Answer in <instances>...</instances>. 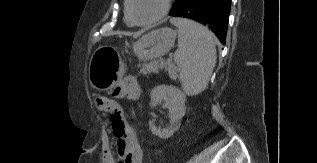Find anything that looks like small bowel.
<instances>
[{"instance_id":"c3829d8e","label":"small bowel","mask_w":317,"mask_h":163,"mask_svg":"<svg viewBox=\"0 0 317 163\" xmlns=\"http://www.w3.org/2000/svg\"><path fill=\"white\" fill-rule=\"evenodd\" d=\"M113 93L117 98L135 101L140 95V88L134 78L127 77L116 84ZM113 135L116 139V152L110 146L106 147L103 163H143L141 147L130 125H125L121 133L113 130Z\"/></svg>"}]
</instances>
